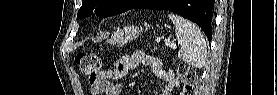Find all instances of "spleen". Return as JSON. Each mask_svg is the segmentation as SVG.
<instances>
[{
    "instance_id": "spleen-1",
    "label": "spleen",
    "mask_w": 277,
    "mask_h": 95,
    "mask_svg": "<svg viewBox=\"0 0 277 95\" xmlns=\"http://www.w3.org/2000/svg\"><path fill=\"white\" fill-rule=\"evenodd\" d=\"M169 19L175 26V34L180 44L178 58L196 68H203L207 49L200 29L192 22L175 14H169Z\"/></svg>"
}]
</instances>
